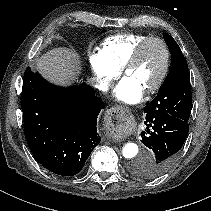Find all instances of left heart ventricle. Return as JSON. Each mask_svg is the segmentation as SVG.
Masks as SVG:
<instances>
[{
	"label": "left heart ventricle",
	"mask_w": 211,
	"mask_h": 211,
	"mask_svg": "<svg viewBox=\"0 0 211 211\" xmlns=\"http://www.w3.org/2000/svg\"><path fill=\"white\" fill-rule=\"evenodd\" d=\"M164 54L157 43L148 44L137 63L130 67L126 76L133 78L146 91L158 79L163 68Z\"/></svg>",
	"instance_id": "b2bd125f"
}]
</instances>
